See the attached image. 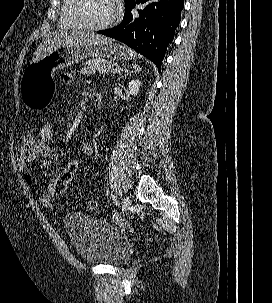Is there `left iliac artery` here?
<instances>
[{"instance_id": "44dca946", "label": "left iliac artery", "mask_w": 272, "mask_h": 303, "mask_svg": "<svg viewBox=\"0 0 272 303\" xmlns=\"http://www.w3.org/2000/svg\"><path fill=\"white\" fill-rule=\"evenodd\" d=\"M111 198H112V200H113V202L115 203L116 206L119 205L117 197L114 194H111Z\"/></svg>"}]
</instances>
